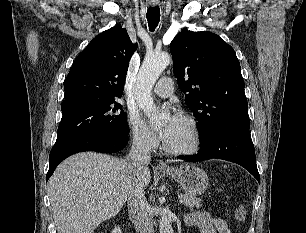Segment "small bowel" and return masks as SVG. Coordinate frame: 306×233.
<instances>
[{"label": "small bowel", "mask_w": 306, "mask_h": 233, "mask_svg": "<svg viewBox=\"0 0 306 233\" xmlns=\"http://www.w3.org/2000/svg\"><path fill=\"white\" fill-rule=\"evenodd\" d=\"M186 224L196 226L201 233H231L225 220L212 217L207 212H193L185 216Z\"/></svg>", "instance_id": "c3829d8e"}]
</instances>
